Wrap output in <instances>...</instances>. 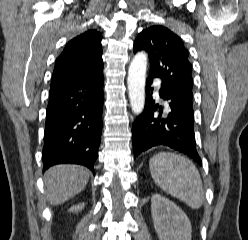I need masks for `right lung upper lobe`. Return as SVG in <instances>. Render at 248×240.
Here are the masks:
<instances>
[{
  "mask_svg": "<svg viewBox=\"0 0 248 240\" xmlns=\"http://www.w3.org/2000/svg\"><path fill=\"white\" fill-rule=\"evenodd\" d=\"M101 34L88 30L67 43L56 59L50 89L102 73Z\"/></svg>",
  "mask_w": 248,
  "mask_h": 240,
  "instance_id": "obj_1",
  "label": "right lung upper lobe"
}]
</instances>
